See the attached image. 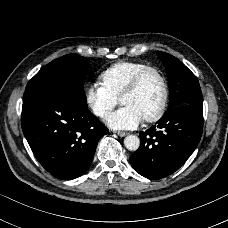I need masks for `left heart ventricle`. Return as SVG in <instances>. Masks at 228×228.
Returning <instances> with one entry per match:
<instances>
[{
  "label": "left heart ventricle",
  "mask_w": 228,
  "mask_h": 228,
  "mask_svg": "<svg viewBox=\"0 0 228 228\" xmlns=\"http://www.w3.org/2000/svg\"><path fill=\"white\" fill-rule=\"evenodd\" d=\"M163 98L162 81L157 74L151 72L144 77L135 92L124 97L122 104L133 107L145 118L158 111Z\"/></svg>",
  "instance_id": "b2bd125f"
}]
</instances>
